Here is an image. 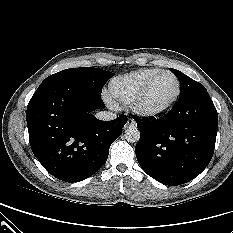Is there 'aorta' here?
Segmentation results:
<instances>
[{"instance_id": "1", "label": "aorta", "mask_w": 233, "mask_h": 233, "mask_svg": "<svg viewBox=\"0 0 233 233\" xmlns=\"http://www.w3.org/2000/svg\"><path fill=\"white\" fill-rule=\"evenodd\" d=\"M125 139L131 143L138 142L140 139V131L138 128L135 126H129L125 131Z\"/></svg>"}]
</instances>
